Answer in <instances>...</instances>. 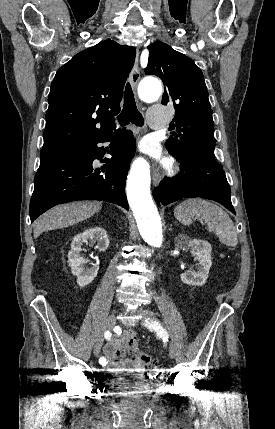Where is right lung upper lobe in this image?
Segmentation results:
<instances>
[{
	"instance_id": "obj_1",
	"label": "right lung upper lobe",
	"mask_w": 275,
	"mask_h": 429,
	"mask_svg": "<svg viewBox=\"0 0 275 429\" xmlns=\"http://www.w3.org/2000/svg\"><path fill=\"white\" fill-rule=\"evenodd\" d=\"M136 50L105 40L76 54L56 73L48 96L40 158L59 154L115 129L123 87Z\"/></svg>"
}]
</instances>
